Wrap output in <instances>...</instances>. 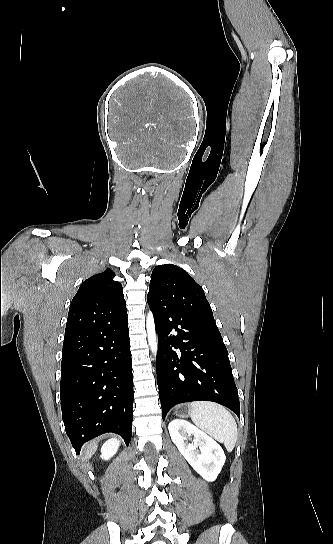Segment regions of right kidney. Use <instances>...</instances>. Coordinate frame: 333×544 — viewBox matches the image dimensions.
Listing matches in <instances>:
<instances>
[{
    "instance_id": "obj_1",
    "label": "right kidney",
    "mask_w": 333,
    "mask_h": 544,
    "mask_svg": "<svg viewBox=\"0 0 333 544\" xmlns=\"http://www.w3.org/2000/svg\"><path fill=\"white\" fill-rule=\"evenodd\" d=\"M119 447V441L117 439H109L104 443V445L101 448V458L104 460H109L111 457H113Z\"/></svg>"
}]
</instances>
